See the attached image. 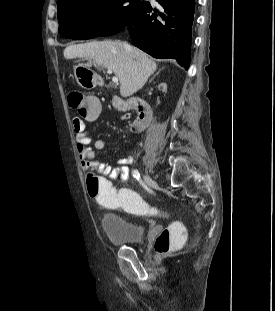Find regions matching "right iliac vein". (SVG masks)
<instances>
[{"label":"right iliac vein","mask_w":275,"mask_h":311,"mask_svg":"<svg viewBox=\"0 0 275 311\" xmlns=\"http://www.w3.org/2000/svg\"><path fill=\"white\" fill-rule=\"evenodd\" d=\"M143 178H144L145 183L149 187H151V188H156L157 187V183L149 175H144Z\"/></svg>","instance_id":"right-iliac-vein-1"}]
</instances>
